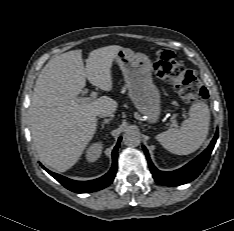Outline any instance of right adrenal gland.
Here are the masks:
<instances>
[{
  "label": "right adrenal gland",
  "mask_w": 234,
  "mask_h": 231,
  "mask_svg": "<svg viewBox=\"0 0 234 231\" xmlns=\"http://www.w3.org/2000/svg\"><path fill=\"white\" fill-rule=\"evenodd\" d=\"M111 120H112V119H104L103 122H102V124H101V129H103V128H104V125H105V124H108L109 121H111Z\"/></svg>",
  "instance_id": "right-adrenal-gland-1"
}]
</instances>
